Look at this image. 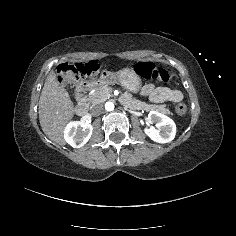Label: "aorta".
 Instances as JSON below:
<instances>
[{
	"label": "aorta",
	"instance_id": "762f6f07",
	"mask_svg": "<svg viewBox=\"0 0 236 236\" xmlns=\"http://www.w3.org/2000/svg\"><path fill=\"white\" fill-rule=\"evenodd\" d=\"M105 109H106L107 111H113V110H114V103H112V102H106V103H105Z\"/></svg>",
	"mask_w": 236,
	"mask_h": 236
}]
</instances>
